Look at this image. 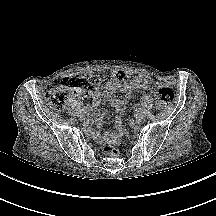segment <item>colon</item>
I'll return each instance as SVG.
<instances>
[{
  "label": "colon",
  "instance_id": "colon-1",
  "mask_svg": "<svg viewBox=\"0 0 216 216\" xmlns=\"http://www.w3.org/2000/svg\"><path fill=\"white\" fill-rule=\"evenodd\" d=\"M86 85V81L76 75L66 77L60 85L45 93L44 101L55 110H63L68 100L74 94L83 90ZM157 94L165 105L171 104L174 100L173 89L169 86L159 87ZM102 150L105 154L110 156H118L119 154L118 149L112 145H106Z\"/></svg>",
  "mask_w": 216,
  "mask_h": 216
}]
</instances>
